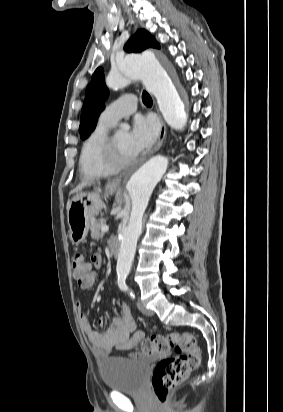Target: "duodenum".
<instances>
[{"instance_id": "410a0bca", "label": "duodenum", "mask_w": 283, "mask_h": 412, "mask_svg": "<svg viewBox=\"0 0 283 412\" xmlns=\"http://www.w3.org/2000/svg\"><path fill=\"white\" fill-rule=\"evenodd\" d=\"M121 249V243L119 240H113L111 243V252L114 256H118Z\"/></svg>"}]
</instances>
